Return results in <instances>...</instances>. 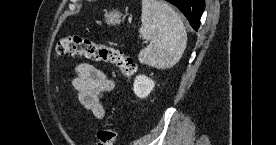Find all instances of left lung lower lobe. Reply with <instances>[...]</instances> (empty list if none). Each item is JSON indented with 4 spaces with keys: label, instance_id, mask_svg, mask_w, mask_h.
<instances>
[{
    "label": "left lung lower lobe",
    "instance_id": "1",
    "mask_svg": "<svg viewBox=\"0 0 276 145\" xmlns=\"http://www.w3.org/2000/svg\"><path fill=\"white\" fill-rule=\"evenodd\" d=\"M175 5L189 20L195 31L200 26V18L203 13L204 0H166Z\"/></svg>",
    "mask_w": 276,
    "mask_h": 145
}]
</instances>
